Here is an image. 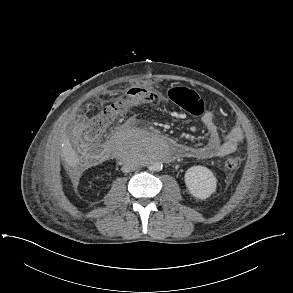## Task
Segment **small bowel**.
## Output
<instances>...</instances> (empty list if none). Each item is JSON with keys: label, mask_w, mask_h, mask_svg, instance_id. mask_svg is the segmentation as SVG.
<instances>
[{"label": "small bowel", "mask_w": 293, "mask_h": 293, "mask_svg": "<svg viewBox=\"0 0 293 293\" xmlns=\"http://www.w3.org/2000/svg\"><path fill=\"white\" fill-rule=\"evenodd\" d=\"M156 101L153 94L152 102ZM194 114L201 115V120L207 129L208 138L204 145L182 146L181 157L206 160L224 156L227 152L235 151L243 140V131L237 127H224L219 130L212 121L210 113L205 112V106L201 100ZM222 136V138H221Z\"/></svg>", "instance_id": "1"}]
</instances>
